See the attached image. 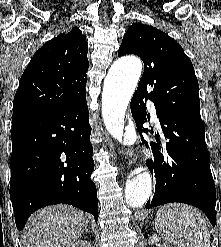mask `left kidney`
<instances>
[{"label": "left kidney", "mask_w": 221, "mask_h": 247, "mask_svg": "<svg viewBox=\"0 0 221 247\" xmlns=\"http://www.w3.org/2000/svg\"><path fill=\"white\" fill-rule=\"evenodd\" d=\"M160 241V238L153 236L152 238H150L149 243L154 244ZM164 247H171L170 245L166 244Z\"/></svg>", "instance_id": "left-kidney-1"}]
</instances>
